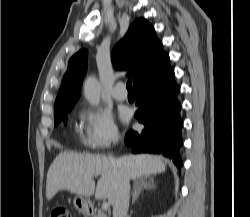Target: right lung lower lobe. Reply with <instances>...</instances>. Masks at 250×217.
I'll use <instances>...</instances> for the list:
<instances>
[{
	"instance_id": "1",
	"label": "right lung lower lobe",
	"mask_w": 250,
	"mask_h": 217,
	"mask_svg": "<svg viewBox=\"0 0 250 217\" xmlns=\"http://www.w3.org/2000/svg\"><path fill=\"white\" fill-rule=\"evenodd\" d=\"M139 106L135 118L145 128L140 132L130 130L125 144L133 153L148 152L162 154L181 168L179 149L183 144L180 117L181 104L177 99L180 87L174 81V70L169 56L134 85Z\"/></svg>"
}]
</instances>
